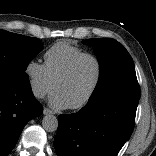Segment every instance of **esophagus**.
Instances as JSON below:
<instances>
[{
    "label": "esophagus",
    "instance_id": "1",
    "mask_svg": "<svg viewBox=\"0 0 156 156\" xmlns=\"http://www.w3.org/2000/svg\"><path fill=\"white\" fill-rule=\"evenodd\" d=\"M43 114H44V115L53 114V112H52L50 109H48V108H44V109H43Z\"/></svg>",
    "mask_w": 156,
    "mask_h": 156
}]
</instances>
